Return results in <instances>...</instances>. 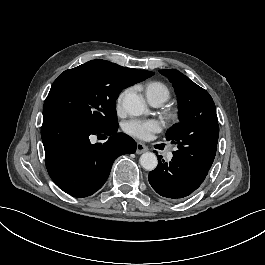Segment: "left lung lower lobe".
<instances>
[{"label":"left lung lower lobe","mask_w":265,"mask_h":265,"mask_svg":"<svg viewBox=\"0 0 265 265\" xmlns=\"http://www.w3.org/2000/svg\"><path fill=\"white\" fill-rule=\"evenodd\" d=\"M206 176L182 159L173 157L169 163L159 159L158 166L149 173L148 180L159 195L183 199L198 189Z\"/></svg>","instance_id":"0a47b994"}]
</instances>
